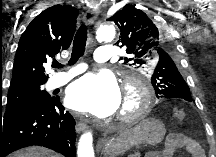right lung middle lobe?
<instances>
[{"label": "right lung middle lobe", "mask_w": 216, "mask_h": 157, "mask_svg": "<svg viewBox=\"0 0 216 157\" xmlns=\"http://www.w3.org/2000/svg\"><path fill=\"white\" fill-rule=\"evenodd\" d=\"M53 98L43 89L42 85L26 87L8 92L5 114L28 106H38L51 102ZM2 115L0 103V117Z\"/></svg>", "instance_id": "dd1d6c3e"}]
</instances>
